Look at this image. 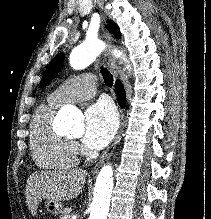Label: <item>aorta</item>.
Instances as JSON below:
<instances>
[{"instance_id": "obj_1", "label": "aorta", "mask_w": 211, "mask_h": 219, "mask_svg": "<svg viewBox=\"0 0 211 219\" xmlns=\"http://www.w3.org/2000/svg\"><path fill=\"white\" fill-rule=\"evenodd\" d=\"M101 51L97 41H85L75 47L70 54V65L73 69L80 70L91 64ZM118 57L121 53L117 54ZM129 68V65L127 66ZM59 117L67 126L68 131L75 136L84 134L82 114L73 106H65L59 112ZM113 190V169L110 165L104 166L96 179L93 202L88 219H107L110 199Z\"/></svg>"}]
</instances>
